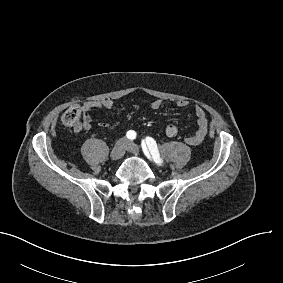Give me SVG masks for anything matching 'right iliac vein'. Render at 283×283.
Returning a JSON list of instances; mask_svg holds the SVG:
<instances>
[{"instance_id": "1", "label": "right iliac vein", "mask_w": 283, "mask_h": 283, "mask_svg": "<svg viewBox=\"0 0 283 283\" xmlns=\"http://www.w3.org/2000/svg\"><path fill=\"white\" fill-rule=\"evenodd\" d=\"M126 147L127 141L125 139H120L119 141H117L110 153V158L113 161H117L122 158L125 153Z\"/></svg>"}]
</instances>
